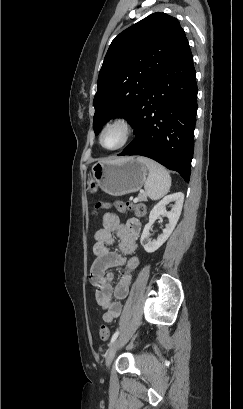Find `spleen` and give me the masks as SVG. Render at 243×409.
Returning <instances> with one entry per match:
<instances>
[{
	"label": "spleen",
	"instance_id": "3e777b00",
	"mask_svg": "<svg viewBox=\"0 0 243 409\" xmlns=\"http://www.w3.org/2000/svg\"><path fill=\"white\" fill-rule=\"evenodd\" d=\"M137 161L144 164L149 170V175L144 186L146 194L152 200H159L169 192L171 187L169 172L151 159L137 157Z\"/></svg>",
	"mask_w": 243,
	"mask_h": 409
}]
</instances>
